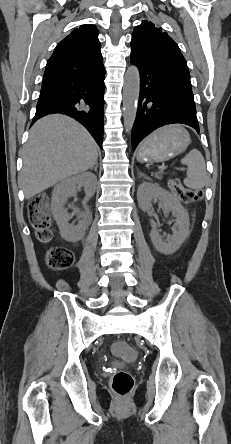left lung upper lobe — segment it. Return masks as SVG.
I'll return each instance as SVG.
<instances>
[{
	"label": "left lung upper lobe",
	"instance_id": "1",
	"mask_svg": "<svg viewBox=\"0 0 231 444\" xmlns=\"http://www.w3.org/2000/svg\"><path fill=\"white\" fill-rule=\"evenodd\" d=\"M131 59L166 67L190 82V74L178 45L161 28L147 20L134 28L131 40Z\"/></svg>",
	"mask_w": 231,
	"mask_h": 444
}]
</instances>
